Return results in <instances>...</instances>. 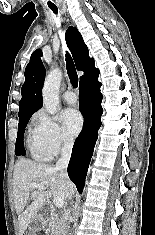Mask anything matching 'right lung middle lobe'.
Returning <instances> with one entry per match:
<instances>
[{"label": "right lung middle lobe", "instance_id": "1", "mask_svg": "<svg viewBox=\"0 0 155 235\" xmlns=\"http://www.w3.org/2000/svg\"><path fill=\"white\" fill-rule=\"evenodd\" d=\"M31 116L32 115H27V116L19 118L18 133H17L16 145H15L16 156H19V155L25 156L26 154L24 144H23V135H24L27 123Z\"/></svg>", "mask_w": 155, "mask_h": 235}]
</instances>
